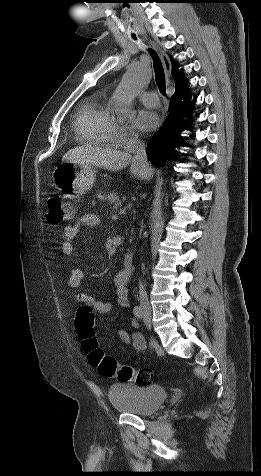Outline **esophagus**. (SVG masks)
<instances>
[{
	"label": "esophagus",
	"instance_id": "34e87169",
	"mask_svg": "<svg viewBox=\"0 0 261 476\" xmlns=\"http://www.w3.org/2000/svg\"><path fill=\"white\" fill-rule=\"evenodd\" d=\"M152 47L159 54V56L161 58V61L163 63V66H164L166 77L169 78V76L171 74V62H170V59H169L168 55L164 51H162L160 49V47L158 45H156L155 43H152Z\"/></svg>",
	"mask_w": 261,
	"mask_h": 476
}]
</instances>
